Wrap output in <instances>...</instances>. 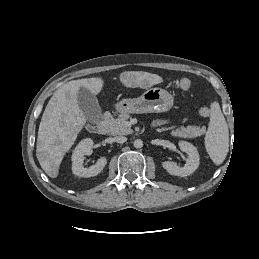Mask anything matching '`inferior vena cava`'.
<instances>
[{"instance_id": "obj_1", "label": "inferior vena cava", "mask_w": 259, "mask_h": 259, "mask_svg": "<svg viewBox=\"0 0 259 259\" xmlns=\"http://www.w3.org/2000/svg\"><path fill=\"white\" fill-rule=\"evenodd\" d=\"M113 140L116 143L122 144V143H125L127 141V138L125 136H115Z\"/></svg>"}]
</instances>
